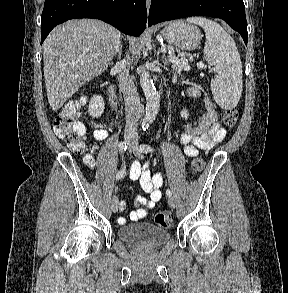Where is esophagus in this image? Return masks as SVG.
<instances>
[{"instance_id": "obj_1", "label": "esophagus", "mask_w": 288, "mask_h": 293, "mask_svg": "<svg viewBox=\"0 0 288 293\" xmlns=\"http://www.w3.org/2000/svg\"><path fill=\"white\" fill-rule=\"evenodd\" d=\"M146 3H147V8L149 9L150 4H151V0H146Z\"/></svg>"}]
</instances>
